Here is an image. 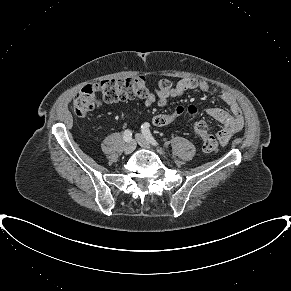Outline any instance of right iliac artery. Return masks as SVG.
<instances>
[{
    "instance_id": "obj_1",
    "label": "right iliac artery",
    "mask_w": 291,
    "mask_h": 291,
    "mask_svg": "<svg viewBox=\"0 0 291 291\" xmlns=\"http://www.w3.org/2000/svg\"><path fill=\"white\" fill-rule=\"evenodd\" d=\"M131 138H132V132L129 129L125 130L123 133V139L126 142H129V141H131Z\"/></svg>"
}]
</instances>
